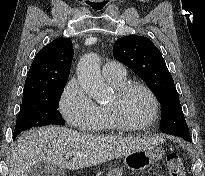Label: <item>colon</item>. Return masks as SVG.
<instances>
[{
	"label": "colon",
	"mask_w": 205,
	"mask_h": 176,
	"mask_svg": "<svg viewBox=\"0 0 205 176\" xmlns=\"http://www.w3.org/2000/svg\"><path fill=\"white\" fill-rule=\"evenodd\" d=\"M166 164L170 176H186L185 166L179 154H169L166 159Z\"/></svg>",
	"instance_id": "5ec220e1"
}]
</instances>
